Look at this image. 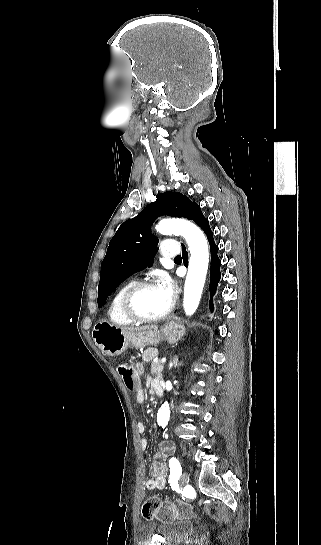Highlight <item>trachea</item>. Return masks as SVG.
<instances>
[{
    "label": "trachea",
    "instance_id": "obj_1",
    "mask_svg": "<svg viewBox=\"0 0 321 545\" xmlns=\"http://www.w3.org/2000/svg\"><path fill=\"white\" fill-rule=\"evenodd\" d=\"M181 260H182L181 255H178L177 257L174 258V261H175V262L181 261Z\"/></svg>",
    "mask_w": 321,
    "mask_h": 545
}]
</instances>
